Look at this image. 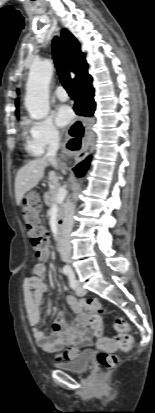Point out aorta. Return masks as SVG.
I'll return each instance as SVG.
<instances>
[{"label":"aorta","mask_w":155,"mask_h":413,"mask_svg":"<svg viewBox=\"0 0 155 413\" xmlns=\"http://www.w3.org/2000/svg\"><path fill=\"white\" fill-rule=\"evenodd\" d=\"M52 74L53 65L49 60L33 64L30 68L25 107L35 120H41L49 113V83Z\"/></svg>","instance_id":"obj_1"}]
</instances>
